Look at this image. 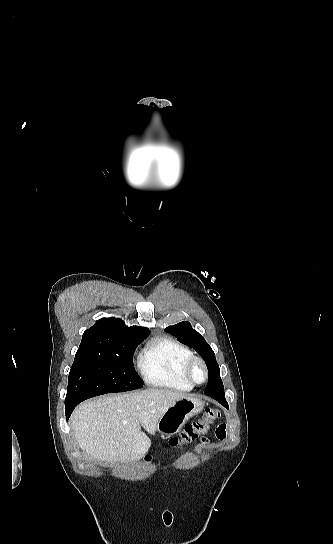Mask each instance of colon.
<instances>
[{"label": "colon", "instance_id": "obj_1", "mask_svg": "<svg viewBox=\"0 0 333 544\" xmlns=\"http://www.w3.org/2000/svg\"><path fill=\"white\" fill-rule=\"evenodd\" d=\"M220 417V411L216 408H206L202 416L196 421L186 425L178 437L168 441L172 448H179L185 443L191 442L204 434L210 425Z\"/></svg>", "mask_w": 333, "mask_h": 544}]
</instances>
